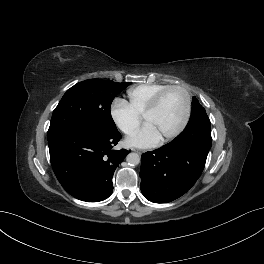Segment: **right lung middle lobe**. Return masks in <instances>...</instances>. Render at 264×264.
Masks as SVG:
<instances>
[{
    "label": "right lung middle lobe",
    "mask_w": 264,
    "mask_h": 264,
    "mask_svg": "<svg viewBox=\"0 0 264 264\" xmlns=\"http://www.w3.org/2000/svg\"><path fill=\"white\" fill-rule=\"evenodd\" d=\"M130 84L91 79L68 89L53 112L48 140L68 131L115 130L110 106L115 96Z\"/></svg>",
    "instance_id": "1"
}]
</instances>
